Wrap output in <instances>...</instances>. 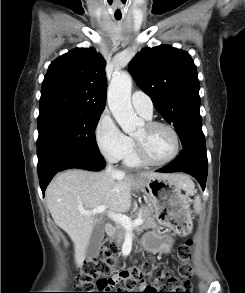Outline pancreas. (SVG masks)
<instances>
[{"instance_id": "cf45deb5", "label": "pancreas", "mask_w": 245, "mask_h": 293, "mask_svg": "<svg viewBox=\"0 0 245 293\" xmlns=\"http://www.w3.org/2000/svg\"><path fill=\"white\" fill-rule=\"evenodd\" d=\"M136 218H141L143 224L137 228L138 232H142L145 229L154 228L157 229L158 225L152 217V211L149 208H142L135 214ZM126 229L119 223L115 224L111 239L116 242V245H121L125 239Z\"/></svg>"}]
</instances>
